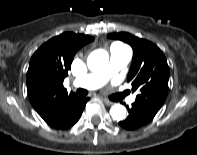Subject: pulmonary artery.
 <instances>
[{"label":"pulmonary artery","instance_id":"obj_1","mask_svg":"<svg viewBox=\"0 0 197 155\" xmlns=\"http://www.w3.org/2000/svg\"><path fill=\"white\" fill-rule=\"evenodd\" d=\"M131 59V50L129 47L115 43L110 47V59L108 65L101 71L89 73L73 81V86L88 90H95L103 86L108 79L125 67ZM135 97L129 98V103H133Z\"/></svg>","mask_w":197,"mask_h":155}]
</instances>
